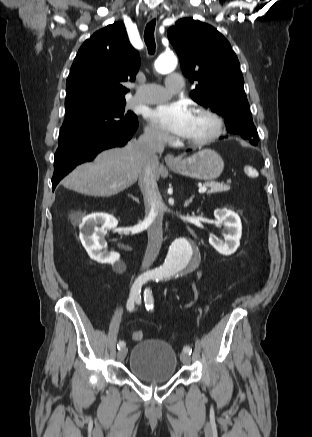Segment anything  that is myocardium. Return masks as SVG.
Wrapping results in <instances>:
<instances>
[{
    "instance_id": "myocardium-1",
    "label": "myocardium",
    "mask_w": 312,
    "mask_h": 437,
    "mask_svg": "<svg viewBox=\"0 0 312 437\" xmlns=\"http://www.w3.org/2000/svg\"><path fill=\"white\" fill-rule=\"evenodd\" d=\"M194 113L209 119L211 121L212 127L208 133L201 137L183 140V144L191 146L204 145L215 140L221 135L224 129V120L217 112L205 107H196L194 109Z\"/></svg>"
}]
</instances>
